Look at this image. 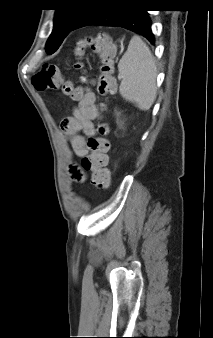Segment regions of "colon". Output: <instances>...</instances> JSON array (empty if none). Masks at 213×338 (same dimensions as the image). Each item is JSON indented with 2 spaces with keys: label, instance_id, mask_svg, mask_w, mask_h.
Here are the masks:
<instances>
[{
  "label": "colon",
  "instance_id": "colon-1",
  "mask_svg": "<svg viewBox=\"0 0 213 338\" xmlns=\"http://www.w3.org/2000/svg\"><path fill=\"white\" fill-rule=\"evenodd\" d=\"M92 49L100 58L102 66L96 80L97 92L100 96L113 93L116 81L113 74L111 63L117 57L118 46L111 42L106 35L87 36L76 44V52L81 57L87 49ZM79 68L81 64L77 65ZM83 79L86 75L83 74ZM33 85L38 91L59 90L65 96L74 99L79 97L78 90L74 84L65 79L61 70L54 64H45L40 72L33 77ZM62 127L70 131H75L78 127L74 118H66L62 121ZM98 135L90 137L87 141L89 154L81 161V168L92 174V183L96 188H108L112 184V173L108 168L109 142L105 135L108 128L102 125L98 130Z\"/></svg>",
  "mask_w": 213,
  "mask_h": 338
}]
</instances>
